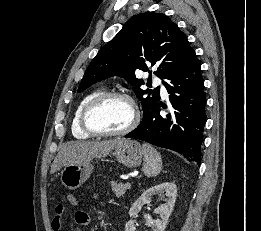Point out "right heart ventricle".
Here are the masks:
<instances>
[{
	"mask_svg": "<svg viewBox=\"0 0 261 231\" xmlns=\"http://www.w3.org/2000/svg\"><path fill=\"white\" fill-rule=\"evenodd\" d=\"M101 90H95L89 94H87L83 99L79 102L77 105L74 114L72 116V121H71V132L73 136L77 139H88L92 135L86 133L81 126V113L86 106L88 102H90L93 98L101 94Z\"/></svg>",
	"mask_w": 261,
	"mask_h": 231,
	"instance_id": "obj_1",
	"label": "right heart ventricle"
}]
</instances>
